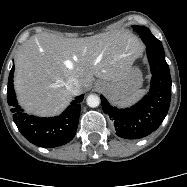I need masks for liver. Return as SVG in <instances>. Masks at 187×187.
<instances>
[{
    "instance_id": "6515ba94",
    "label": "liver",
    "mask_w": 187,
    "mask_h": 187,
    "mask_svg": "<svg viewBox=\"0 0 187 187\" xmlns=\"http://www.w3.org/2000/svg\"><path fill=\"white\" fill-rule=\"evenodd\" d=\"M141 51L137 38L123 31L74 39L35 34L22 45L15 62L19 104L37 116L57 115L74 96L66 88L70 79L79 81L78 93L92 86L94 76L118 82Z\"/></svg>"
}]
</instances>
